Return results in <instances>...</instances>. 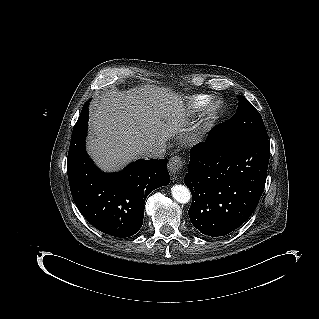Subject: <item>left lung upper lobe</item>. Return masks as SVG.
Masks as SVG:
<instances>
[{
  "label": "left lung upper lobe",
  "mask_w": 319,
  "mask_h": 319,
  "mask_svg": "<svg viewBox=\"0 0 319 319\" xmlns=\"http://www.w3.org/2000/svg\"><path fill=\"white\" fill-rule=\"evenodd\" d=\"M238 108L236 113L227 121L221 123V130L216 138L218 140H250L268 139L265 125L259 112L243 96L238 95Z\"/></svg>",
  "instance_id": "left-lung-upper-lobe-1"
}]
</instances>
